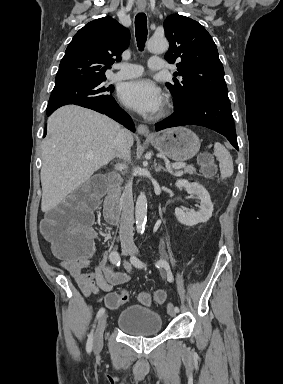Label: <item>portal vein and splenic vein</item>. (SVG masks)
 <instances>
[{
    "instance_id": "portal-vein-and-splenic-vein-1",
    "label": "portal vein and splenic vein",
    "mask_w": 283,
    "mask_h": 384,
    "mask_svg": "<svg viewBox=\"0 0 283 384\" xmlns=\"http://www.w3.org/2000/svg\"><path fill=\"white\" fill-rule=\"evenodd\" d=\"M87 158H93L91 154H87ZM185 162H180V164H173L174 170H181V168H185ZM169 170H171L170 166H168Z\"/></svg>"
}]
</instances>
